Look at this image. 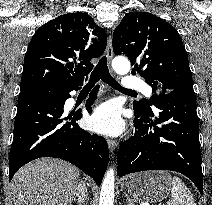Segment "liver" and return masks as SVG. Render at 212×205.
Masks as SVG:
<instances>
[{"mask_svg": "<svg viewBox=\"0 0 212 205\" xmlns=\"http://www.w3.org/2000/svg\"><path fill=\"white\" fill-rule=\"evenodd\" d=\"M79 170L62 160L40 158L19 169L10 187L14 205H71Z\"/></svg>", "mask_w": 212, "mask_h": 205, "instance_id": "1", "label": "liver"}]
</instances>
